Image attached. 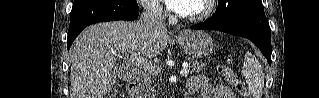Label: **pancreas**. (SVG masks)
Masks as SVG:
<instances>
[{"label":"pancreas","mask_w":319,"mask_h":98,"mask_svg":"<svg viewBox=\"0 0 319 98\" xmlns=\"http://www.w3.org/2000/svg\"><path fill=\"white\" fill-rule=\"evenodd\" d=\"M191 73L192 72H201L205 70L206 64L197 60L190 61ZM141 91L145 96L153 95L155 92L154 82L151 79L149 74L144 76V80L141 85Z\"/></svg>","instance_id":"obj_1"}]
</instances>
